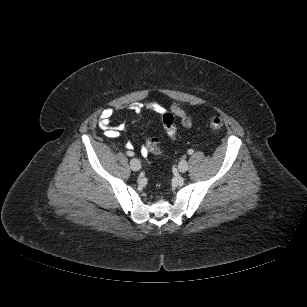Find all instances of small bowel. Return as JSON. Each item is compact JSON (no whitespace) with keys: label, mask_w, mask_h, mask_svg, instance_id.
<instances>
[{"label":"small bowel","mask_w":307,"mask_h":307,"mask_svg":"<svg viewBox=\"0 0 307 307\" xmlns=\"http://www.w3.org/2000/svg\"><path fill=\"white\" fill-rule=\"evenodd\" d=\"M128 108L133 112H135L137 115H140L144 108L158 112L160 114L165 112V109L163 107L155 103H149L146 105L141 103H133L129 105ZM171 111L173 112L174 115H176L180 119L181 124L184 127L188 128L192 125L193 123L192 117L181 107V105L173 104L171 106ZM112 116H113L112 109L107 108L101 112L100 116L98 117L97 123L98 126L103 130L105 136H107L108 138H117L120 136L121 132L127 130V127L124 124L112 126L111 125ZM127 146L130 147L131 144L127 143ZM142 154L143 155L147 154L146 148L142 149Z\"/></svg>","instance_id":"c3829d8e"}]
</instances>
